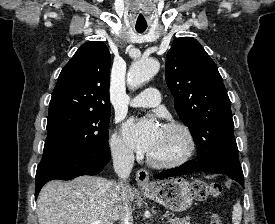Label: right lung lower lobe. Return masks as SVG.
I'll return each instance as SVG.
<instances>
[{
  "label": "right lung lower lobe",
  "mask_w": 275,
  "mask_h": 224,
  "mask_svg": "<svg viewBox=\"0 0 275 224\" xmlns=\"http://www.w3.org/2000/svg\"><path fill=\"white\" fill-rule=\"evenodd\" d=\"M110 160L109 146L80 152L49 153L43 155L36 172L35 198L50 180H69L82 175H95Z\"/></svg>",
  "instance_id": "right-lung-lower-lobe-1"
}]
</instances>
